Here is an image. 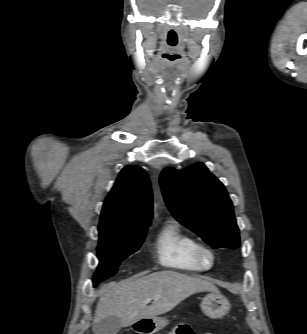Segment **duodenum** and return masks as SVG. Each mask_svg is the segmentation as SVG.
<instances>
[{"instance_id": "1", "label": "duodenum", "mask_w": 307, "mask_h": 334, "mask_svg": "<svg viewBox=\"0 0 307 334\" xmlns=\"http://www.w3.org/2000/svg\"><path fill=\"white\" fill-rule=\"evenodd\" d=\"M146 332H151V330H147Z\"/></svg>"}]
</instances>
